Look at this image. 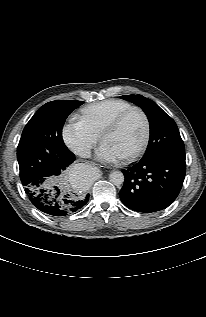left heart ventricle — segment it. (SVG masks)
<instances>
[{"label":"left heart ventricle","instance_id":"b2bd125f","mask_svg":"<svg viewBox=\"0 0 206 317\" xmlns=\"http://www.w3.org/2000/svg\"><path fill=\"white\" fill-rule=\"evenodd\" d=\"M143 134V118L138 112H133L117 130L104 138L103 143L111 146L121 157H124L138 147Z\"/></svg>","mask_w":206,"mask_h":317}]
</instances>
